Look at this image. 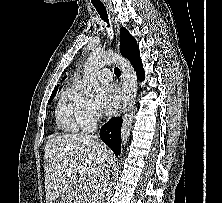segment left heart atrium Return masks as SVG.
<instances>
[{"label": "left heart atrium", "mask_w": 222, "mask_h": 203, "mask_svg": "<svg viewBox=\"0 0 222 203\" xmlns=\"http://www.w3.org/2000/svg\"><path fill=\"white\" fill-rule=\"evenodd\" d=\"M120 100V94L116 87L106 85L95 91V101L98 109L106 114L113 113Z\"/></svg>", "instance_id": "39dd6f15"}]
</instances>
